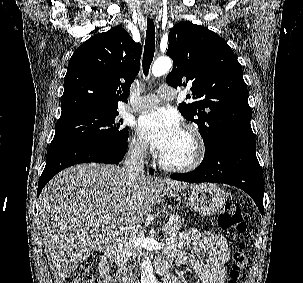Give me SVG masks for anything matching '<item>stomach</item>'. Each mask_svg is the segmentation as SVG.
Listing matches in <instances>:
<instances>
[{
  "mask_svg": "<svg viewBox=\"0 0 303 283\" xmlns=\"http://www.w3.org/2000/svg\"><path fill=\"white\" fill-rule=\"evenodd\" d=\"M188 203L199 214L211 216L218 212L227 200L225 192L216 185L201 184L194 187H187ZM165 195L173 196L168 190H162Z\"/></svg>",
  "mask_w": 303,
  "mask_h": 283,
  "instance_id": "stomach-1",
  "label": "stomach"
}]
</instances>
